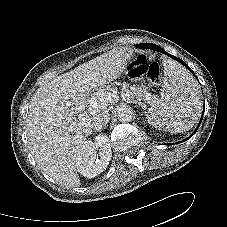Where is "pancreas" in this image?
<instances>
[{
	"label": "pancreas",
	"mask_w": 227,
	"mask_h": 227,
	"mask_svg": "<svg viewBox=\"0 0 227 227\" xmlns=\"http://www.w3.org/2000/svg\"><path fill=\"white\" fill-rule=\"evenodd\" d=\"M122 94H128L129 95L128 99L133 102L136 101V99L137 100H140L141 98L145 99L148 93L142 87L136 85H132L129 87L127 84H123Z\"/></svg>",
	"instance_id": "1"
}]
</instances>
